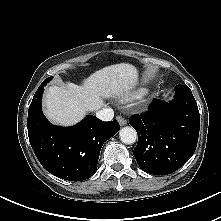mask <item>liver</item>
<instances>
[{"label":"liver","instance_id":"1","mask_svg":"<svg viewBox=\"0 0 221 221\" xmlns=\"http://www.w3.org/2000/svg\"><path fill=\"white\" fill-rule=\"evenodd\" d=\"M137 79L135 66L120 63L94 72L81 85L68 82L62 86H50L44 100L45 114L55 124L74 125L88 112L105 106V99L129 93L136 86Z\"/></svg>","mask_w":221,"mask_h":221}]
</instances>
